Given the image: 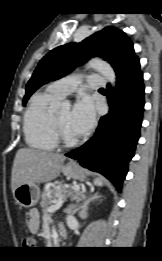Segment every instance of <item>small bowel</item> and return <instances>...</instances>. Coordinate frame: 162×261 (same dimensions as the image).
<instances>
[{
    "instance_id": "c3829d8e",
    "label": "small bowel",
    "mask_w": 162,
    "mask_h": 261,
    "mask_svg": "<svg viewBox=\"0 0 162 261\" xmlns=\"http://www.w3.org/2000/svg\"><path fill=\"white\" fill-rule=\"evenodd\" d=\"M29 228L33 232L40 230V216L37 210H31L29 213Z\"/></svg>"
}]
</instances>
